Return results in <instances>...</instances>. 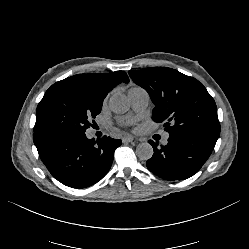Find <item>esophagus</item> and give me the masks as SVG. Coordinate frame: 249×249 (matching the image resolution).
<instances>
[{
    "label": "esophagus",
    "mask_w": 249,
    "mask_h": 249,
    "mask_svg": "<svg viewBox=\"0 0 249 249\" xmlns=\"http://www.w3.org/2000/svg\"><path fill=\"white\" fill-rule=\"evenodd\" d=\"M133 140H134L133 137L130 136V135H126V136H123V137H122V141L125 142V143H130V142H132Z\"/></svg>",
    "instance_id": "1"
}]
</instances>
